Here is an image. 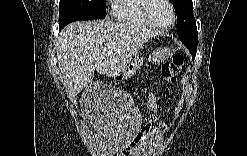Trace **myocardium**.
<instances>
[{"label":"myocardium","instance_id":"1","mask_svg":"<svg viewBox=\"0 0 247 156\" xmlns=\"http://www.w3.org/2000/svg\"><path fill=\"white\" fill-rule=\"evenodd\" d=\"M155 0H146L143 3V14L146 18L147 22L150 24L151 27L160 29V30H167L174 26L176 22V13L173 4L169 0H161L164 1L170 8L171 14H172V20L168 25H159L156 22L153 21V19L150 16V10L152 7V4Z\"/></svg>","mask_w":247,"mask_h":156}]
</instances>
